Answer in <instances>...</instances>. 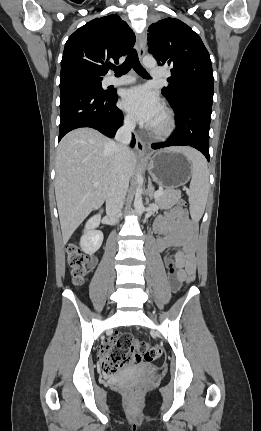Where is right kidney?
<instances>
[{"instance_id":"right-kidney-1","label":"right kidney","mask_w":261,"mask_h":431,"mask_svg":"<svg viewBox=\"0 0 261 431\" xmlns=\"http://www.w3.org/2000/svg\"><path fill=\"white\" fill-rule=\"evenodd\" d=\"M100 221V216L96 215L88 220L85 226L84 234L80 239L82 250L89 255L94 254L103 242V233L95 230Z\"/></svg>"}]
</instances>
